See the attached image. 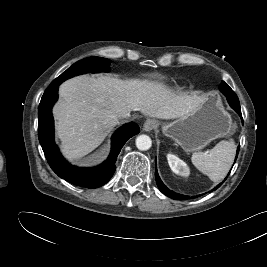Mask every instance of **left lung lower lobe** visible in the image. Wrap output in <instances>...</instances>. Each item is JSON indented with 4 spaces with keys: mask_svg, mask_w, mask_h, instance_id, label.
I'll return each instance as SVG.
<instances>
[{
    "mask_svg": "<svg viewBox=\"0 0 267 267\" xmlns=\"http://www.w3.org/2000/svg\"><path fill=\"white\" fill-rule=\"evenodd\" d=\"M220 90L222 91V93L226 96L230 106L240 115V117L242 118V114H241V108H240V103H239V99L237 97V95L234 93V91L230 88V87H220ZM239 152V146L237 148V155ZM236 155V158H237ZM155 177H156V182L157 185L160 189V191L165 194L166 196L172 198V199H177V200H183V199H188L189 196H184V195H180L177 194L173 191H170L161 181L160 177L158 176V172L157 169L155 171ZM226 179V178H225ZM223 183V182H222ZM222 183H220L219 185H217L216 188H214V190H216ZM197 197V196H196ZM194 198V197H191Z\"/></svg>",
    "mask_w": 267,
    "mask_h": 267,
    "instance_id": "1",
    "label": "left lung lower lobe"
}]
</instances>
